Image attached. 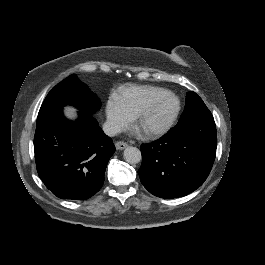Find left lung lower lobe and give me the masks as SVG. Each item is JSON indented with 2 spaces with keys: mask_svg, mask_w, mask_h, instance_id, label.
<instances>
[{
  "mask_svg": "<svg viewBox=\"0 0 265 265\" xmlns=\"http://www.w3.org/2000/svg\"><path fill=\"white\" fill-rule=\"evenodd\" d=\"M216 148V126L209 110L179 120L160 139L141 145V182L157 197L185 196L208 177Z\"/></svg>",
  "mask_w": 265,
  "mask_h": 265,
  "instance_id": "obj_1",
  "label": "left lung lower lobe"
}]
</instances>
